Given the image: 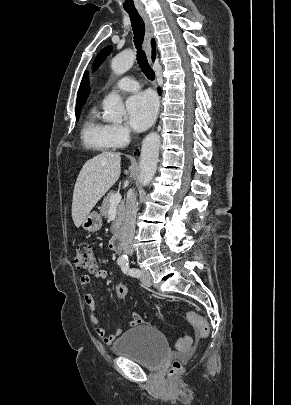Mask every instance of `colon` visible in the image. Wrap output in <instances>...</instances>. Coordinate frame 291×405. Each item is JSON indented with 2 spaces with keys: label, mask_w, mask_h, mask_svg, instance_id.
Segmentation results:
<instances>
[{
  "label": "colon",
  "mask_w": 291,
  "mask_h": 405,
  "mask_svg": "<svg viewBox=\"0 0 291 405\" xmlns=\"http://www.w3.org/2000/svg\"><path fill=\"white\" fill-rule=\"evenodd\" d=\"M75 268L80 271L95 273L98 269L97 259L92 247L87 243H81L77 246L76 256L74 260ZM115 293L118 299L125 300L128 296V288L123 280H119L115 284ZM187 320L198 331L201 338L205 339L209 336L210 327L208 321L201 315L195 312L187 313ZM190 337H182L177 341V349L186 351L190 347ZM182 367L180 361L173 362L170 370V375L176 374Z\"/></svg>",
  "instance_id": "colon-1"
}]
</instances>
